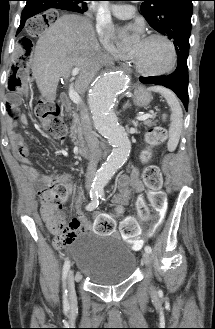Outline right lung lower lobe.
I'll use <instances>...</instances> for the list:
<instances>
[{
	"label": "right lung lower lobe",
	"mask_w": 215,
	"mask_h": 329,
	"mask_svg": "<svg viewBox=\"0 0 215 329\" xmlns=\"http://www.w3.org/2000/svg\"><path fill=\"white\" fill-rule=\"evenodd\" d=\"M26 6L22 11L21 15V22L20 26L18 28L17 33H19L22 28L24 27V24L26 20L38 13H41L45 11L48 8H56V9H62V10H68V11H74L65 1L66 0H26ZM83 13V12H79Z\"/></svg>",
	"instance_id": "1"
}]
</instances>
